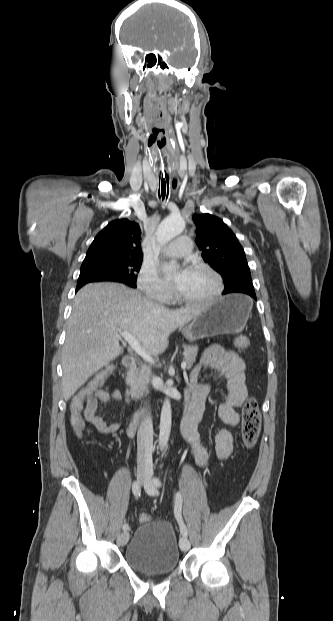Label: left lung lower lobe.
Here are the masks:
<instances>
[{
    "label": "left lung lower lobe",
    "instance_id": "1",
    "mask_svg": "<svg viewBox=\"0 0 333 621\" xmlns=\"http://www.w3.org/2000/svg\"><path fill=\"white\" fill-rule=\"evenodd\" d=\"M243 294L249 295L250 297H252L253 299L256 300V294L255 292H251V291H244L242 292Z\"/></svg>",
    "mask_w": 333,
    "mask_h": 621
}]
</instances>
